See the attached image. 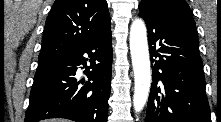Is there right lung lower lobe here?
Listing matches in <instances>:
<instances>
[{
	"instance_id": "1",
	"label": "right lung lower lobe",
	"mask_w": 221,
	"mask_h": 122,
	"mask_svg": "<svg viewBox=\"0 0 221 122\" xmlns=\"http://www.w3.org/2000/svg\"><path fill=\"white\" fill-rule=\"evenodd\" d=\"M111 65V30L76 50L38 65L25 122L56 117L76 122H107ZM79 66L85 68L87 82L76 79Z\"/></svg>"
}]
</instances>
